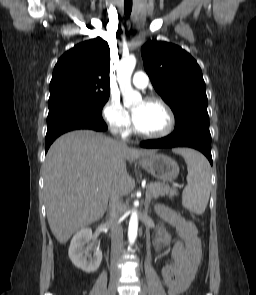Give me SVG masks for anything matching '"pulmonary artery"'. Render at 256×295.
<instances>
[{"label":"pulmonary artery","mask_w":256,"mask_h":295,"mask_svg":"<svg viewBox=\"0 0 256 295\" xmlns=\"http://www.w3.org/2000/svg\"><path fill=\"white\" fill-rule=\"evenodd\" d=\"M132 83L139 89H144L149 84V78L146 73L142 71H136L132 78Z\"/></svg>","instance_id":"e3ab8cb5"}]
</instances>
